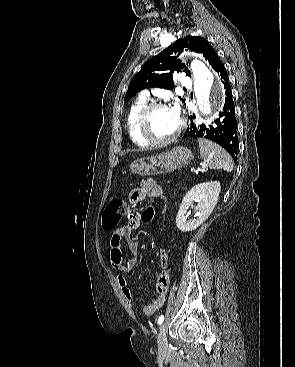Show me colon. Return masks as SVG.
Wrapping results in <instances>:
<instances>
[{"instance_id": "obj_1", "label": "colon", "mask_w": 295, "mask_h": 367, "mask_svg": "<svg viewBox=\"0 0 295 367\" xmlns=\"http://www.w3.org/2000/svg\"><path fill=\"white\" fill-rule=\"evenodd\" d=\"M158 201L159 208L154 205V203H149L147 212L144 215V220L149 221L151 220L157 213L158 209L161 212L168 211V201L170 197L168 195H158L154 198ZM127 212V204L125 200L121 197H114L110 200L107 204L102 217V224L106 230L115 229L119 222L121 221L122 217Z\"/></svg>"}]
</instances>
